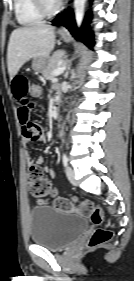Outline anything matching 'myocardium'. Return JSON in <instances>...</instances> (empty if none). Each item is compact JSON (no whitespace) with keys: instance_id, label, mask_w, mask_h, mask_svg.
Returning <instances> with one entry per match:
<instances>
[{"instance_id":"f54148a6","label":"myocardium","mask_w":134,"mask_h":281,"mask_svg":"<svg viewBox=\"0 0 134 281\" xmlns=\"http://www.w3.org/2000/svg\"><path fill=\"white\" fill-rule=\"evenodd\" d=\"M38 11L44 16H52L61 8V2L50 5L46 0H33Z\"/></svg>"}]
</instances>
